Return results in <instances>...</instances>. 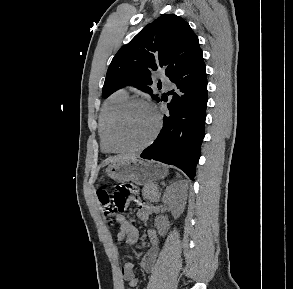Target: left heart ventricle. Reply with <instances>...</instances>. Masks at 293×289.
<instances>
[{
	"label": "left heart ventricle",
	"mask_w": 293,
	"mask_h": 289,
	"mask_svg": "<svg viewBox=\"0 0 293 289\" xmlns=\"http://www.w3.org/2000/svg\"><path fill=\"white\" fill-rule=\"evenodd\" d=\"M155 125V115L148 106L133 105L117 122L116 141L125 147L139 146L148 140Z\"/></svg>",
	"instance_id": "b2bd125f"
}]
</instances>
